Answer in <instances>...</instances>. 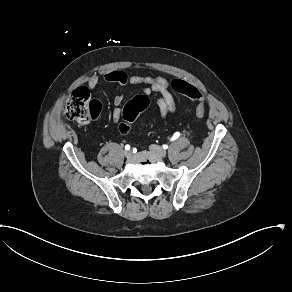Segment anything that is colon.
<instances>
[{
	"label": "colon",
	"instance_id": "colon-1",
	"mask_svg": "<svg viewBox=\"0 0 292 292\" xmlns=\"http://www.w3.org/2000/svg\"><path fill=\"white\" fill-rule=\"evenodd\" d=\"M171 87L177 93L186 95L197 102L195 104V115L197 118L202 119L205 116L203 96L196 87L182 80L173 81ZM149 105V97L143 94L136 95L128 100L122 108L120 131L123 134H130L133 131V124L139 113L145 111ZM100 111V102L93 100L90 92L84 87L73 90L64 107L66 117L75 120L81 125L88 124L92 118L99 115Z\"/></svg>",
	"mask_w": 292,
	"mask_h": 292
}]
</instances>
